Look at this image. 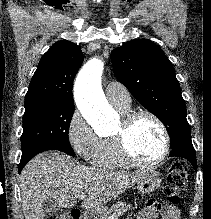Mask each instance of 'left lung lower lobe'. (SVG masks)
Returning <instances> with one entry per match:
<instances>
[{
    "label": "left lung lower lobe",
    "instance_id": "obj_1",
    "mask_svg": "<svg viewBox=\"0 0 211 219\" xmlns=\"http://www.w3.org/2000/svg\"><path fill=\"white\" fill-rule=\"evenodd\" d=\"M171 149L169 157L185 158L193 165L195 171H197L196 154L192 145L191 136L180 138Z\"/></svg>",
    "mask_w": 211,
    "mask_h": 219
}]
</instances>
